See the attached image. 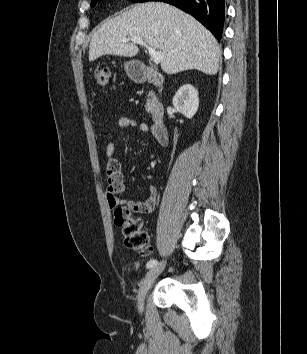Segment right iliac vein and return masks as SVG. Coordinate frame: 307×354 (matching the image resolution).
Segmentation results:
<instances>
[{
  "mask_svg": "<svg viewBox=\"0 0 307 354\" xmlns=\"http://www.w3.org/2000/svg\"><path fill=\"white\" fill-rule=\"evenodd\" d=\"M165 265H166V261H162L158 266L152 268L147 273L146 277L143 279L140 289H139L138 300H137V307H138V310L140 313L143 311L145 297H146L149 289L153 285L156 278L164 270Z\"/></svg>",
  "mask_w": 307,
  "mask_h": 354,
  "instance_id": "obj_1",
  "label": "right iliac vein"
}]
</instances>
